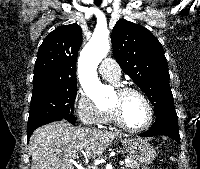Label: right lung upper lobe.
Returning <instances> with one entry per match:
<instances>
[{
  "instance_id": "obj_1",
  "label": "right lung upper lobe",
  "mask_w": 200,
  "mask_h": 169,
  "mask_svg": "<svg viewBox=\"0 0 200 169\" xmlns=\"http://www.w3.org/2000/svg\"><path fill=\"white\" fill-rule=\"evenodd\" d=\"M81 42L82 30L76 23L49 33L38 50L33 89L77 82L76 59Z\"/></svg>"
}]
</instances>
